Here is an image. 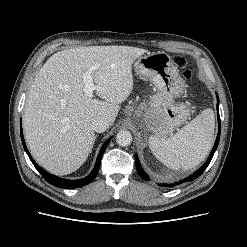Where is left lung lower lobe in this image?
<instances>
[{
  "mask_svg": "<svg viewBox=\"0 0 247 247\" xmlns=\"http://www.w3.org/2000/svg\"><path fill=\"white\" fill-rule=\"evenodd\" d=\"M217 113H218V125H219V128H218V135H217V138H216V142H215V145L207 159V161L205 162V164L197 171H195L193 173V175L187 177L186 179L184 180H180V181H177V182H174V183H171V184H162L161 186H164V187H174V186H177L183 182H186V181H192L194 179H196L197 177H199L203 172L204 170L206 169V167L209 165L216 149H217V146L219 144V139H220V132H221V122H220V116H219V98L217 97ZM135 163H136V168H137V171L139 173V175L144 179V180H149V177L148 175L145 173V171L143 170V168L141 167L140 165V162H139V159L137 157V155L135 154ZM160 186V184H159Z\"/></svg>",
  "mask_w": 247,
  "mask_h": 247,
  "instance_id": "left-lung-lower-lobe-1",
  "label": "left lung lower lobe"
}]
</instances>
